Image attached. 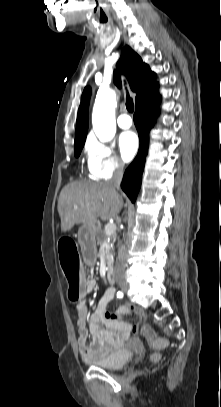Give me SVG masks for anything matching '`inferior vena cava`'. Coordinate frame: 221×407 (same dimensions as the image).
<instances>
[{
  "mask_svg": "<svg viewBox=\"0 0 221 407\" xmlns=\"http://www.w3.org/2000/svg\"><path fill=\"white\" fill-rule=\"evenodd\" d=\"M123 172H124V163L118 162L116 164V168L112 179H110L107 183L115 189L119 188L122 181ZM126 255L127 248L125 245H121L118 250V256L115 264L114 271L116 275H121L124 272L126 265Z\"/></svg>",
  "mask_w": 221,
  "mask_h": 407,
  "instance_id": "602c4592",
  "label": "inferior vena cava"
}]
</instances>
